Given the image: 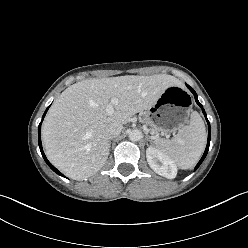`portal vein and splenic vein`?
<instances>
[{
	"mask_svg": "<svg viewBox=\"0 0 248 248\" xmlns=\"http://www.w3.org/2000/svg\"><path fill=\"white\" fill-rule=\"evenodd\" d=\"M118 104V99L113 97L110 100V103L107 105L106 112L108 114H113L114 113V106Z\"/></svg>",
	"mask_w": 248,
	"mask_h": 248,
	"instance_id": "1",
	"label": "portal vein and splenic vein"
}]
</instances>
